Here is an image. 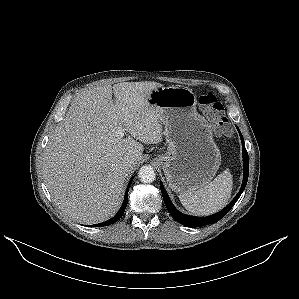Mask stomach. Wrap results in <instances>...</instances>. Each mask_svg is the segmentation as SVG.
<instances>
[{
  "label": "stomach",
  "instance_id": "stomach-1",
  "mask_svg": "<svg viewBox=\"0 0 299 299\" xmlns=\"http://www.w3.org/2000/svg\"><path fill=\"white\" fill-rule=\"evenodd\" d=\"M148 102L165 125L167 150L157 162L169 187L182 194L209 184L221 164V154L208 121L196 110L193 91L182 86L158 87Z\"/></svg>",
  "mask_w": 299,
  "mask_h": 299
}]
</instances>
